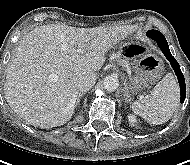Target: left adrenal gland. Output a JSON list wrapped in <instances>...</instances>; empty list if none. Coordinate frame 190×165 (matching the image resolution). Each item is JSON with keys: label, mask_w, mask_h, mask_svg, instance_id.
I'll list each match as a JSON object with an SVG mask.
<instances>
[{"label": "left adrenal gland", "mask_w": 190, "mask_h": 165, "mask_svg": "<svg viewBox=\"0 0 190 165\" xmlns=\"http://www.w3.org/2000/svg\"><path fill=\"white\" fill-rule=\"evenodd\" d=\"M124 100H125V103H131V96L129 94V90H128V87L125 85L124 86Z\"/></svg>", "instance_id": "left-adrenal-gland-1"}]
</instances>
